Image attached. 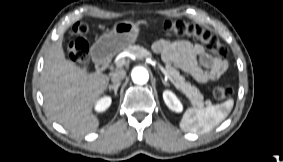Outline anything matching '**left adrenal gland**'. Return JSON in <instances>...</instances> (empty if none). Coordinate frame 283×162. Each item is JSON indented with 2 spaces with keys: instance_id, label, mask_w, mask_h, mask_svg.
I'll list each match as a JSON object with an SVG mask.
<instances>
[{
  "instance_id": "obj_1",
  "label": "left adrenal gland",
  "mask_w": 283,
  "mask_h": 162,
  "mask_svg": "<svg viewBox=\"0 0 283 162\" xmlns=\"http://www.w3.org/2000/svg\"><path fill=\"white\" fill-rule=\"evenodd\" d=\"M162 83L165 85V86H168L169 83L167 81H165L163 78H162Z\"/></svg>"
}]
</instances>
